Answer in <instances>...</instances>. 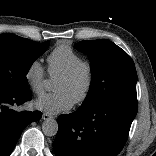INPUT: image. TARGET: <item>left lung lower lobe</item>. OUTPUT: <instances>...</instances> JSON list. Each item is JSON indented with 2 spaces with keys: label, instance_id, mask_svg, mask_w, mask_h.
<instances>
[{
  "label": "left lung lower lobe",
  "instance_id": "0a47b994",
  "mask_svg": "<svg viewBox=\"0 0 156 156\" xmlns=\"http://www.w3.org/2000/svg\"><path fill=\"white\" fill-rule=\"evenodd\" d=\"M138 106L108 101L58 117L56 156H116L124 147Z\"/></svg>",
  "mask_w": 156,
  "mask_h": 156
}]
</instances>
